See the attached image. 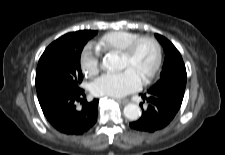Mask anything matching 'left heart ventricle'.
<instances>
[{
	"instance_id": "obj_1",
	"label": "left heart ventricle",
	"mask_w": 225,
	"mask_h": 155,
	"mask_svg": "<svg viewBox=\"0 0 225 155\" xmlns=\"http://www.w3.org/2000/svg\"><path fill=\"white\" fill-rule=\"evenodd\" d=\"M155 60L153 46L149 42H142L132 57H120L121 68L133 69L142 79L152 69Z\"/></svg>"
}]
</instances>
